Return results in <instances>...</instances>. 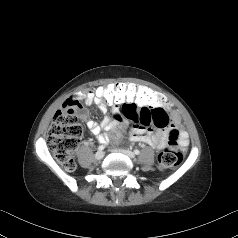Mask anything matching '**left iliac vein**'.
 <instances>
[{
	"instance_id": "4c4485c4",
	"label": "left iliac vein",
	"mask_w": 238,
	"mask_h": 238,
	"mask_svg": "<svg viewBox=\"0 0 238 238\" xmlns=\"http://www.w3.org/2000/svg\"><path fill=\"white\" fill-rule=\"evenodd\" d=\"M119 151L122 152L123 154L127 155L131 159L135 158V154L130 150L120 149Z\"/></svg>"
}]
</instances>
